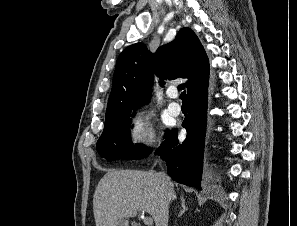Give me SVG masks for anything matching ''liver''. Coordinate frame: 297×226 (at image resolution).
<instances>
[{"label": "liver", "instance_id": "1", "mask_svg": "<svg viewBox=\"0 0 297 226\" xmlns=\"http://www.w3.org/2000/svg\"><path fill=\"white\" fill-rule=\"evenodd\" d=\"M171 187L174 184L171 182ZM168 187L157 173L137 170H110L99 181L93 212L96 226H116L118 220L149 213L156 226H168Z\"/></svg>", "mask_w": 297, "mask_h": 226}]
</instances>
